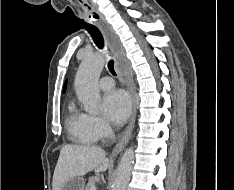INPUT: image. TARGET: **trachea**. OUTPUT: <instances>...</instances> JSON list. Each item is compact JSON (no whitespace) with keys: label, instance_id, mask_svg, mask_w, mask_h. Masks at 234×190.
Returning a JSON list of instances; mask_svg holds the SVG:
<instances>
[{"label":"trachea","instance_id":"3493384b","mask_svg":"<svg viewBox=\"0 0 234 190\" xmlns=\"http://www.w3.org/2000/svg\"><path fill=\"white\" fill-rule=\"evenodd\" d=\"M84 29H86L88 31V33L91 35L96 46L98 48L102 49L104 47V39H103V36H102L100 30L94 25L84 26ZM108 69L112 75L116 76V72L114 70V61L113 60H110L108 62Z\"/></svg>","mask_w":234,"mask_h":190}]
</instances>
